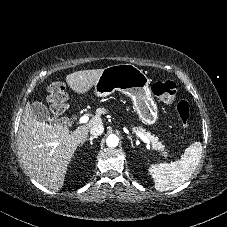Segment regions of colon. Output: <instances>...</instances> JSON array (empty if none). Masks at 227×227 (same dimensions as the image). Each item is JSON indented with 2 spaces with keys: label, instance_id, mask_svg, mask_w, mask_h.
I'll return each mask as SVG.
<instances>
[{
  "label": "colon",
  "instance_id": "1",
  "mask_svg": "<svg viewBox=\"0 0 227 227\" xmlns=\"http://www.w3.org/2000/svg\"><path fill=\"white\" fill-rule=\"evenodd\" d=\"M48 101L52 115L60 117L66 110V91L63 83L58 80L51 81L47 87ZM152 92L161 101L172 103L177 94V86L172 81H158L153 84ZM176 114L183 127H188L190 123V105L186 101H180L175 107Z\"/></svg>",
  "mask_w": 227,
  "mask_h": 227
}]
</instances>
